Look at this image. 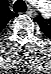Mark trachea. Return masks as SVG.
<instances>
[{
  "mask_svg": "<svg viewBox=\"0 0 51 74\" xmlns=\"http://www.w3.org/2000/svg\"><path fill=\"white\" fill-rule=\"evenodd\" d=\"M27 6L23 0H17L13 6V10L15 12H21L22 10H26Z\"/></svg>",
  "mask_w": 51,
  "mask_h": 74,
  "instance_id": "3493384b",
  "label": "trachea"
}]
</instances>
